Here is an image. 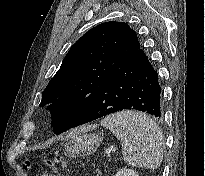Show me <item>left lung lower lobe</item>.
<instances>
[{"label": "left lung lower lobe", "mask_w": 205, "mask_h": 176, "mask_svg": "<svg viewBox=\"0 0 205 176\" xmlns=\"http://www.w3.org/2000/svg\"><path fill=\"white\" fill-rule=\"evenodd\" d=\"M158 75L142 49H138L99 89L95 100L80 114L73 127L130 109L162 116Z\"/></svg>", "instance_id": "1"}]
</instances>
